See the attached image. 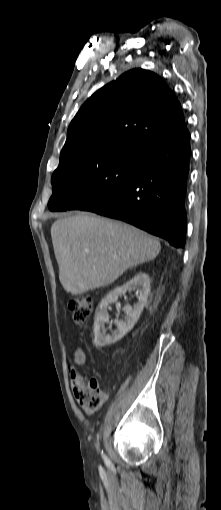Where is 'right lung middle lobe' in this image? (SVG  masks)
Returning <instances> with one entry per match:
<instances>
[{"mask_svg": "<svg viewBox=\"0 0 221 510\" xmlns=\"http://www.w3.org/2000/svg\"><path fill=\"white\" fill-rule=\"evenodd\" d=\"M147 149L125 147L85 153L59 163L52 175L51 211L84 209L124 188L138 172Z\"/></svg>", "mask_w": 221, "mask_h": 510, "instance_id": "1", "label": "right lung middle lobe"}]
</instances>
